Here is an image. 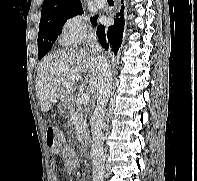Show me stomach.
Returning a JSON list of instances; mask_svg holds the SVG:
<instances>
[{"label": "stomach", "mask_w": 197, "mask_h": 181, "mask_svg": "<svg viewBox=\"0 0 197 181\" xmlns=\"http://www.w3.org/2000/svg\"><path fill=\"white\" fill-rule=\"evenodd\" d=\"M71 107V98H65L63 100H61L60 104H59V110L60 112H66L67 110H69Z\"/></svg>", "instance_id": "0dacf381"}]
</instances>
